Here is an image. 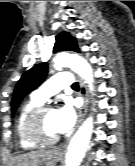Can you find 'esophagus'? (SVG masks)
<instances>
[{
    "label": "esophagus",
    "mask_w": 135,
    "mask_h": 166,
    "mask_svg": "<svg viewBox=\"0 0 135 166\" xmlns=\"http://www.w3.org/2000/svg\"><path fill=\"white\" fill-rule=\"evenodd\" d=\"M79 85H80V95L83 98V105L79 112V123H81L87 109V98H86L87 90H86V85L82 79H79Z\"/></svg>",
    "instance_id": "34e87169"
}]
</instances>
